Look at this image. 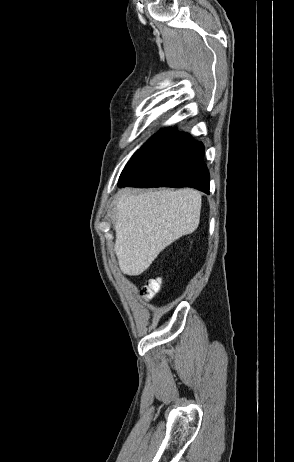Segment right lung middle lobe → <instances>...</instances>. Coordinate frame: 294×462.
<instances>
[{
  "mask_svg": "<svg viewBox=\"0 0 294 462\" xmlns=\"http://www.w3.org/2000/svg\"><path fill=\"white\" fill-rule=\"evenodd\" d=\"M168 131V128L161 129L158 133L153 135L139 150L135 152V154L132 156L130 161L127 163L126 166H128L136 157L138 154H140L143 150L148 148L151 144L155 143L157 140H159L166 132Z\"/></svg>",
  "mask_w": 294,
  "mask_h": 462,
  "instance_id": "right-lung-middle-lobe-1",
  "label": "right lung middle lobe"
}]
</instances>
